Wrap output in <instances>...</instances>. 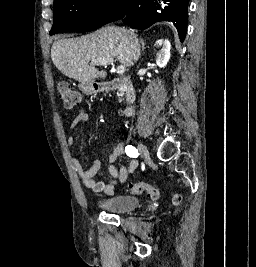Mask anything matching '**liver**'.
I'll return each mask as SVG.
<instances>
[{
	"mask_svg": "<svg viewBox=\"0 0 256 267\" xmlns=\"http://www.w3.org/2000/svg\"><path fill=\"white\" fill-rule=\"evenodd\" d=\"M135 40H138L134 30H124L117 26H105L89 36L70 38V40H57L51 48V58L57 70L64 76L74 78L81 84H90L97 80H104L107 72H99L91 64L95 62H111L114 58L121 66H132V48Z\"/></svg>",
	"mask_w": 256,
	"mask_h": 267,
	"instance_id": "6515ba94",
	"label": "liver"
}]
</instances>
